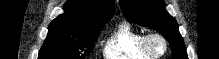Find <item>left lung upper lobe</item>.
Listing matches in <instances>:
<instances>
[{"mask_svg": "<svg viewBox=\"0 0 219 59\" xmlns=\"http://www.w3.org/2000/svg\"><path fill=\"white\" fill-rule=\"evenodd\" d=\"M121 10L132 22L162 34L172 48V59H188L176 20L166 11L163 0H119Z\"/></svg>", "mask_w": 219, "mask_h": 59, "instance_id": "5c2ea615", "label": "left lung upper lobe"}]
</instances>
